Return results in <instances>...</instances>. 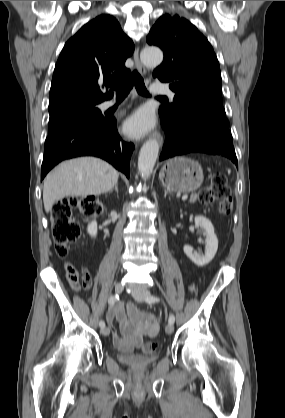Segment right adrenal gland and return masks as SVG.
<instances>
[{"label":"right adrenal gland","instance_id":"2a0ac1e0","mask_svg":"<svg viewBox=\"0 0 285 418\" xmlns=\"http://www.w3.org/2000/svg\"><path fill=\"white\" fill-rule=\"evenodd\" d=\"M114 190H115V191L117 192V194H118V184H116V185H115L114 189L110 190V193H111V192H113Z\"/></svg>","mask_w":285,"mask_h":418}]
</instances>
